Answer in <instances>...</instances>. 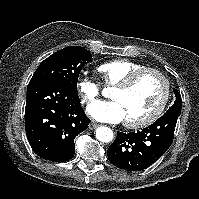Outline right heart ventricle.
<instances>
[{"mask_svg":"<svg viewBox=\"0 0 199 199\" xmlns=\"http://www.w3.org/2000/svg\"><path fill=\"white\" fill-rule=\"evenodd\" d=\"M145 66L126 59H117L102 63L97 70L105 85L115 86L125 80L133 72Z\"/></svg>","mask_w":199,"mask_h":199,"instance_id":"e07e8e85","label":"right heart ventricle"}]
</instances>
